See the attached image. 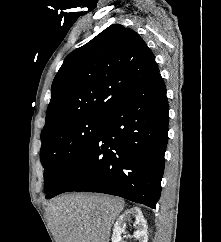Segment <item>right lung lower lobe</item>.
Segmentation results:
<instances>
[{
  "instance_id": "98d812e1",
  "label": "right lung lower lobe",
  "mask_w": 221,
  "mask_h": 242,
  "mask_svg": "<svg viewBox=\"0 0 221 242\" xmlns=\"http://www.w3.org/2000/svg\"><path fill=\"white\" fill-rule=\"evenodd\" d=\"M168 101L160 74L103 116L49 198L69 191L116 195L155 208L168 141ZM48 198V199H49Z\"/></svg>"
}]
</instances>
